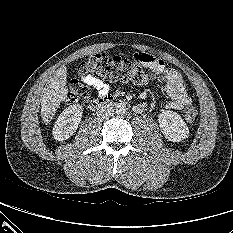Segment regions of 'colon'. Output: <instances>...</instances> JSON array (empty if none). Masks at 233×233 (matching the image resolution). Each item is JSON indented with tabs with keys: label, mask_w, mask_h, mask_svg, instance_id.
<instances>
[{
	"label": "colon",
	"mask_w": 233,
	"mask_h": 233,
	"mask_svg": "<svg viewBox=\"0 0 233 233\" xmlns=\"http://www.w3.org/2000/svg\"><path fill=\"white\" fill-rule=\"evenodd\" d=\"M82 75L102 77L111 82L141 84L150 79V74L144 70L142 60L135 56L132 60L120 56H110L105 53H96L79 67ZM90 94L88 84L73 79L68 86L67 101L75 103L86 99ZM198 109L189 104L184 110V118L189 123L197 121Z\"/></svg>",
	"instance_id": "1"
}]
</instances>
